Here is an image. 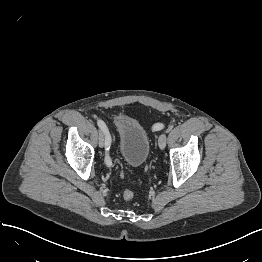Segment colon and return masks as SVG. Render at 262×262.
<instances>
[{
	"mask_svg": "<svg viewBox=\"0 0 262 262\" xmlns=\"http://www.w3.org/2000/svg\"><path fill=\"white\" fill-rule=\"evenodd\" d=\"M133 197H134V193H133L132 190L127 189V190H125V191L123 192V198H124L125 200H132Z\"/></svg>",
	"mask_w": 262,
	"mask_h": 262,
	"instance_id": "colon-1",
	"label": "colon"
}]
</instances>
